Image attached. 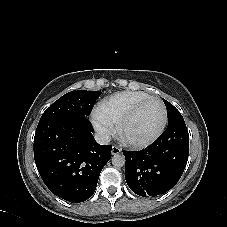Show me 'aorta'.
Returning <instances> with one entry per match:
<instances>
[{
	"label": "aorta",
	"instance_id": "1",
	"mask_svg": "<svg viewBox=\"0 0 227 227\" xmlns=\"http://www.w3.org/2000/svg\"><path fill=\"white\" fill-rule=\"evenodd\" d=\"M112 165L115 167V168H121L125 165V156L123 154H114L113 157H112Z\"/></svg>",
	"mask_w": 227,
	"mask_h": 227
}]
</instances>
